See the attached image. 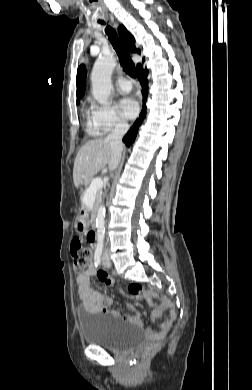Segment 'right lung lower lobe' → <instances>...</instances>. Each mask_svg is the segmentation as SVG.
<instances>
[{"label":"right lung lower lobe","mask_w":252,"mask_h":390,"mask_svg":"<svg viewBox=\"0 0 252 390\" xmlns=\"http://www.w3.org/2000/svg\"><path fill=\"white\" fill-rule=\"evenodd\" d=\"M147 75H148L147 70L140 69L137 71V77H138V80L140 81L141 86H142L143 106H142V110H141V113L139 115V118L135 121V123L132 125L130 130L123 137V142L127 146H130L134 143L136 135L138 133V129L146 117V100H147V95H148Z\"/></svg>","instance_id":"1"}]
</instances>
